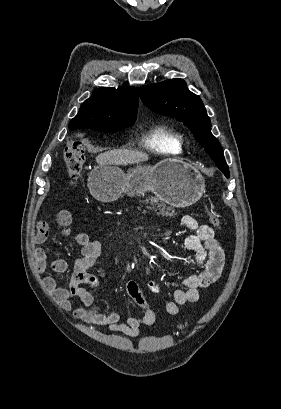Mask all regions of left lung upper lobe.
Masks as SVG:
<instances>
[{
	"instance_id": "obj_1",
	"label": "left lung upper lobe",
	"mask_w": 281,
	"mask_h": 409,
	"mask_svg": "<svg viewBox=\"0 0 281 409\" xmlns=\"http://www.w3.org/2000/svg\"><path fill=\"white\" fill-rule=\"evenodd\" d=\"M143 103L152 111L175 117L192 131L226 177L230 176L223 150L211 133V122L199 96L190 92L182 79H171L140 87Z\"/></svg>"
}]
</instances>
